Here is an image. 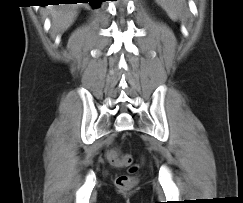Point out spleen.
Instances as JSON below:
<instances>
[{
    "label": "spleen",
    "instance_id": "obj_1",
    "mask_svg": "<svg viewBox=\"0 0 243 203\" xmlns=\"http://www.w3.org/2000/svg\"><path fill=\"white\" fill-rule=\"evenodd\" d=\"M156 2L167 12L172 20L183 16L185 0H156Z\"/></svg>",
    "mask_w": 243,
    "mask_h": 203
}]
</instances>
